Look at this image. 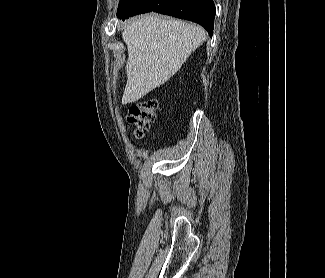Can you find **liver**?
<instances>
[{
    "label": "liver",
    "mask_w": 325,
    "mask_h": 278,
    "mask_svg": "<svg viewBox=\"0 0 325 278\" xmlns=\"http://www.w3.org/2000/svg\"><path fill=\"white\" fill-rule=\"evenodd\" d=\"M122 38L128 49L122 104H128L169 80L206 35L200 26L150 14L128 23Z\"/></svg>",
    "instance_id": "liver-1"
}]
</instances>
